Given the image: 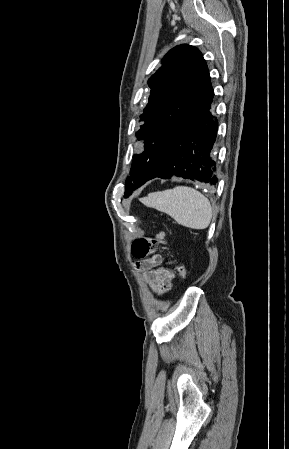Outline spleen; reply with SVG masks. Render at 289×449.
I'll return each instance as SVG.
<instances>
[{
  "instance_id": "spleen-1",
  "label": "spleen",
  "mask_w": 289,
  "mask_h": 449,
  "mask_svg": "<svg viewBox=\"0 0 289 449\" xmlns=\"http://www.w3.org/2000/svg\"><path fill=\"white\" fill-rule=\"evenodd\" d=\"M141 202L168 214L178 224L191 229L207 228L212 218L209 200L196 189L187 186L150 193Z\"/></svg>"
}]
</instances>
